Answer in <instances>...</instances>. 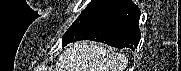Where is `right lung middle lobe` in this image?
I'll list each match as a JSON object with an SVG mask.
<instances>
[{
    "instance_id": "1",
    "label": "right lung middle lobe",
    "mask_w": 181,
    "mask_h": 71,
    "mask_svg": "<svg viewBox=\"0 0 181 71\" xmlns=\"http://www.w3.org/2000/svg\"><path fill=\"white\" fill-rule=\"evenodd\" d=\"M96 1H97V0H92V2L89 4V7H90L92 4H94ZM89 7H88V8H89Z\"/></svg>"
}]
</instances>
